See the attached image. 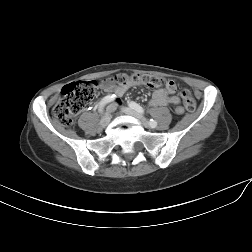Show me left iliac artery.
<instances>
[{"label":"left iliac artery","instance_id":"obj_1","mask_svg":"<svg viewBox=\"0 0 252 252\" xmlns=\"http://www.w3.org/2000/svg\"><path fill=\"white\" fill-rule=\"evenodd\" d=\"M128 105L129 107H131L132 109L136 110L138 113L140 114H143L144 113V110L143 108L138 105L137 103L133 102V101H130L128 102ZM149 125L152 127V128H155L157 126V122L153 119H150L149 121Z\"/></svg>","mask_w":252,"mask_h":252}]
</instances>
